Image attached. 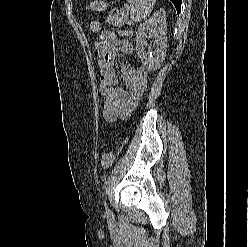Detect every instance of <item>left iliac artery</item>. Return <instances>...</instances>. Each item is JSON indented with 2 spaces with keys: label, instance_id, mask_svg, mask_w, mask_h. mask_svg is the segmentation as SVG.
Listing matches in <instances>:
<instances>
[{
  "label": "left iliac artery",
  "instance_id": "left-iliac-artery-1",
  "mask_svg": "<svg viewBox=\"0 0 248 247\" xmlns=\"http://www.w3.org/2000/svg\"><path fill=\"white\" fill-rule=\"evenodd\" d=\"M104 205H105L106 213H111L109 208L107 207L106 200H104Z\"/></svg>",
  "mask_w": 248,
  "mask_h": 247
}]
</instances>
